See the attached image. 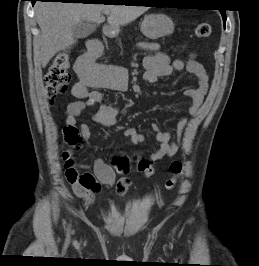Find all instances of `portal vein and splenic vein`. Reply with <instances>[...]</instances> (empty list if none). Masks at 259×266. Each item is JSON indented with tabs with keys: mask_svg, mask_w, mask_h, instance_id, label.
<instances>
[{
	"mask_svg": "<svg viewBox=\"0 0 259 266\" xmlns=\"http://www.w3.org/2000/svg\"><path fill=\"white\" fill-rule=\"evenodd\" d=\"M104 14H109V11H105V12H103Z\"/></svg>",
	"mask_w": 259,
	"mask_h": 266,
	"instance_id": "obj_1",
	"label": "portal vein and splenic vein"
}]
</instances>
